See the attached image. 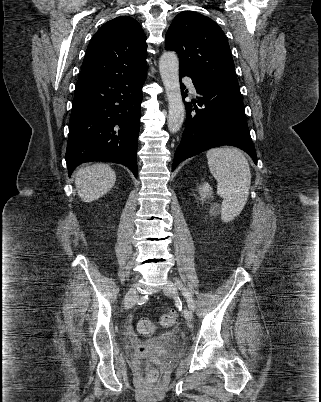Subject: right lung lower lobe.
<instances>
[{
    "label": "right lung lower lobe",
    "instance_id": "obj_1",
    "mask_svg": "<svg viewBox=\"0 0 321 402\" xmlns=\"http://www.w3.org/2000/svg\"><path fill=\"white\" fill-rule=\"evenodd\" d=\"M147 71L76 83L69 121L66 163L69 176L80 164L110 161L137 177L142 86Z\"/></svg>",
    "mask_w": 321,
    "mask_h": 402
}]
</instances>
